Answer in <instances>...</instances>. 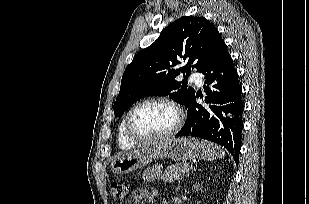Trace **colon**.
<instances>
[{
	"mask_svg": "<svg viewBox=\"0 0 309 204\" xmlns=\"http://www.w3.org/2000/svg\"><path fill=\"white\" fill-rule=\"evenodd\" d=\"M127 191L128 187L123 182L114 181L110 185V193L115 204H121L124 201Z\"/></svg>",
	"mask_w": 309,
	"mask_h": 204,
	"instance_id": "colon-1",
	"label": "colon"
}]
</instances>
